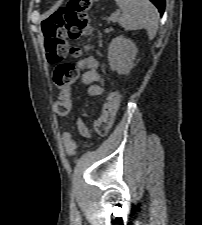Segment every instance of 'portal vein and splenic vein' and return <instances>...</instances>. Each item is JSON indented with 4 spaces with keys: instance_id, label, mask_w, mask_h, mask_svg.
Returning <instances> with one entry per match:
<instances>
[{
    "instance_id": "18ae733b",
    "label": "portal vein and splenic vein",
    "mask_w": 202,
    "mask_h": 225,
    "mask_svg": "<svg viewBox=\"0 0 202 225\" xmlns=\"http://www.w3.org/2000/svg\"><path fill=\"white\" fill-rule=\"evenodd\" d=\"M119 14H120V11L118 10L112 17L109 18V20L115 22Z\"/></svg>"
}]
</instances>
